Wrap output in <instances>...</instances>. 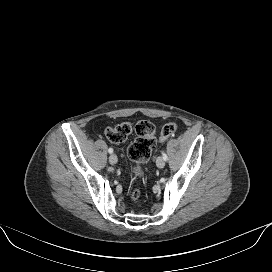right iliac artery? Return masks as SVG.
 I'll list each match as a JSON object with an SVG mask.
<instances>
[{
  "instance_id": "obj_1",
  "label": "right iliac artery",
  "mask_w": 272,
  "mask_h": 272,
  "mask_svg": "<svg viewBox=\"0 0 272 272\" xmlns=\"http://www.w3.org/2000/svg\"><path fill=\"white\" fill-rule=\"evenodd\" d=\"M108 152H109V153H113V149H112V148H109V149H108Z\"/></svg>"
}]
</instances>
